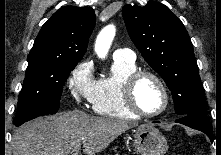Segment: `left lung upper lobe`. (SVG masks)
<instances>
[{
    "label": "left lung upper lobe",
    "mask_w": 221,
    "mask_h": 155,
    "mask_svg": "<svg viewBox=\"0 0 221 155\" xmlns=\"http://www.w3.org/2000/svg\"><path fill=\"white\" fill-rule=\"evenodd\" d=\"M122 14L131 40L171 90L175 113L207 115L193 45L180 19L153 1L125 5Z\"/></svg>",
    "instance_id": "left-lung-upper-lobe-1"
}]
</instances>
